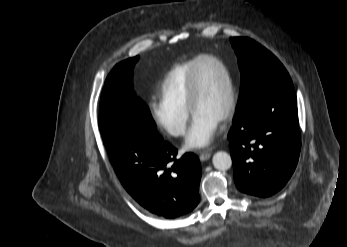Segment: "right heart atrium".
Instances as JSON below:
<instances>
[{"instance_id": "right-heart-atrium-1", "label": "right heart atrium", "mask_w": 347, "mask_h": 247, "mask_svg": "<svg viewBox=\"0 0 347 247\" xmlns=\"http://www.w3.org/2000/svg\"><path fill=\"white\" fill-rule=\"evenodd\" d=\"M152 115L160 128L173 137L185 134L189 122V111L186 107L170 104L163 99L151 104Z\"/></svg>"}]
</instances>
